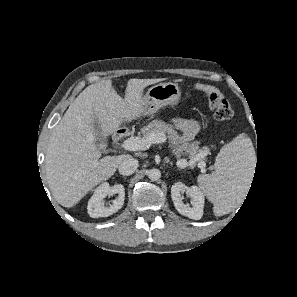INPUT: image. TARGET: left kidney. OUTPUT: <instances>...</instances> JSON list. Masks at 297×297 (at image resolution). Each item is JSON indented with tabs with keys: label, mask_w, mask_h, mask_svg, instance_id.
<instances>
[{
	"label": "left kidney",
	"mask_w": 297,
	"mask_h": 297,
	"mask_svg": "<svg viewBox=\"0 0 297 297\" xmlns=\"http://www.w3.org/2000/svg\"><path fill=\"white\" fill-rule=\"evenodd\" d=\"M184 192L192 199V207H190L189 204L183 203L182 193ZM171 198L175 208L180 214L194 220H199L203 216L205 199L204 193L198 186L187 187L185 184L177 182L172 185Z\"/></svg>",
	"instance_id": "5707ae66"
}]
</instances>
